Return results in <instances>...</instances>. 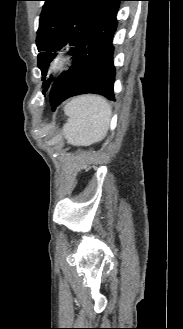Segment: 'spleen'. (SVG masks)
<instances>
[{
    "instance_id": "1",
    "label": "spleen",
    "mask_w": 183,
    "mask_h": 329,
    "mask_svg": "<svg viewBox=\"0 0 183 329\" xmlns=\"http://www.w3.org/2000/svg\"><path fill=\"white\" fill-rule=\"evenodd\" d=\"M68 116L65 137L75 146H90L102 141L108 132L112 109L105 98L81 95L71 99L64 107Z\"/></svg>"
}]
</instances>
